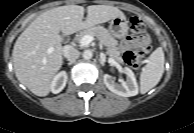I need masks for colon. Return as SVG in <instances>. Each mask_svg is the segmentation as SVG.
<instances>
[{"mask_svg": "<svg viewBox=\"0 0 194 133\" xmlns=\"http://www.w3.org/2000/svg\"><path fill=\"white\" fill-rule=\"evenodd\" d=\"M130 27L134 34H143L146 29L144 23L138 17L130 19ZM144 53L140 47L134 48L125 52L124 60L129 66L137 68L143 61Z\"/></svg>", "mask_w": 194, "mask_h": 133, "instance_id": "colon-1", "label": "colon"}]
</instances>
